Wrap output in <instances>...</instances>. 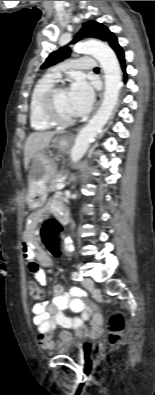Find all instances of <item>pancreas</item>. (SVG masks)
Returning a JSON list of instances; mask_svg holds the SVG:
<instances>
[{
    "mask_svg": "<svg viewBox=\"0 0 155 395\" xmlns=\"http://www.w3.org/2000/svg\"><path fill=\"white\" fill-rule=\"evenodd\" d=\"M62 178V176L60 174L55 175L49 182H48V192H54L56 191V184H58V182L60 181V179Z\"/></svg>",
    "mask_w": 155,
    "mask_h": 395,
    "instance_id": "pancreas-1",
    "label": "pancreas"
}]
</instances>
